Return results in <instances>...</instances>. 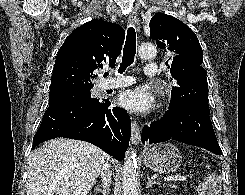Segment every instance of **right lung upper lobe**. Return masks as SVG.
Masks as SVG:
<instances>
[{
  "instance_id": "obj_1",
  "label": "right lung upper lobe",
  "mask_w": 245,
  "mask_h": 195,
  "mask_svg": "<svg viewBox=\"0 0 245 195\" xmlns=\"http://www.w3.org/2000/svg\"><path fill=\"white\" fill-rule=\"evenodd\" d=\"M124 36L121 26L102 19H93L72 31L57 54L49 94L93 87V72L105 63L114 67Z\"/></svg>"
}]
</instances>
